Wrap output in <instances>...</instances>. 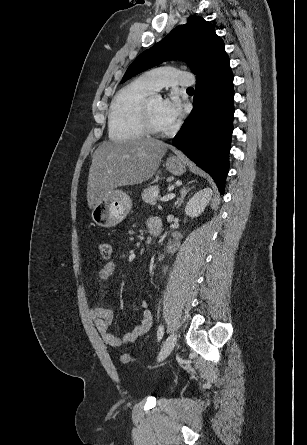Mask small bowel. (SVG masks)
I'll use <instances>...</instances> for the list:
<instances>
[{
	"label": "small bowel",
	"mask_w": 307,
	"mask_h": 445,
	"mask_svg": "<svg viewBox=\"0 0 307 445\" xmlns=\"http://www.w3.org/2000/svg\"><path fill=\"white\" fill-rule=\"evenodd\" d=\"M147 225L149 232L154 229L161 232V221L158 218H150ZM115 270L116 265L113 261L106 262L99 271V279L101 281L108 280L115 273ZM140 308L142 318L139 324L132 331L124 333L121 336H116L109 331V327L113 319V312L111 309L105 308L99 302H96L91 307L90 313L103 341L107 345L118 348L136 341L139 337L145 335L151 329L153 315L148 302L145 300L142 301L140 303Z\"/></svg>",
	"instance_id": "small-bowel-1"
}]
</instances>
